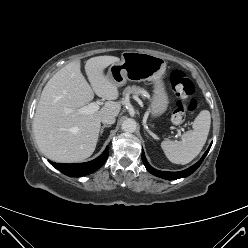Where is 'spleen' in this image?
<instances>
[{"instance_id": "3e777b00", "label": "spleen", "mask_w": 248, "mask_h": 248, "mask_svg": "<svg viewBox=\"0 0 248 248\" xmlns=\"http://www.w3.org/2000/svg\"><path fill=\"white\" fill-rule=\"evenodd\" d=\"M211 124V115L203 110L193 122V130L183 134L180 141L164 140L161 148L166 157L175 164H187L201 152L206 143Z\"/></svg>"}]
</instances>
